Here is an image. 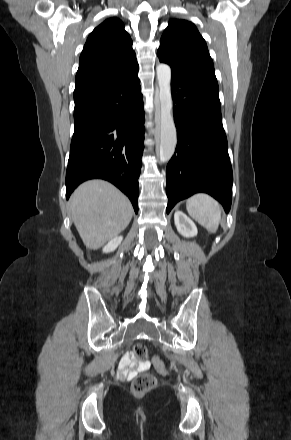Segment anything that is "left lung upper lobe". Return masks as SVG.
Returning a JSON list of instances; mask_svg holds the SVG:
<instances>
[{
  "instance_id": "1",
  "label": "left lung upper lobe",
  "mask_w": 291,
  "mask_h": 440,
  "mask_svg": "<svg viewBox=\"0 0 291 440\" xmlns=\"http://www.w3.org/2000/svg\"><path fill=\"white\" fill-rule=\"evenodd\" d=\"M157 55L171 68L216 80L206 42L189 21L174 19L169 22Z\"/></svg>"
}]
</instances>
